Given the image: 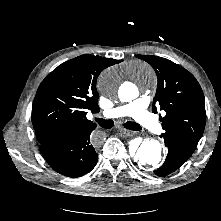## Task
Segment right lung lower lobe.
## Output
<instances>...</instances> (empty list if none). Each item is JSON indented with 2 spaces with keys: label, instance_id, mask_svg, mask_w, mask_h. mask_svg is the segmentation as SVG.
I'll return each mask as SVG.
<instances>
[{
  "label": "right lung lower lobe",
  "instance_id": "obj_1",
  "mask_svg": "<svg viewBox=\"0 0 221 221\" xmlns=\"http://www.w3.org/2000/svg\"><path fill=\"white\" fill-rule=\"evenodd\" d=\"M93 130L94 128L89 127L61 135L41 143L39 149L56 172L67 177L85 175L98 161Z\"/></svg>",
  "mask_w": 221,
  "mask_h": 221
}]
</instances>
